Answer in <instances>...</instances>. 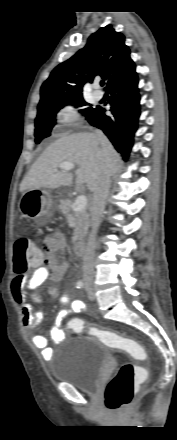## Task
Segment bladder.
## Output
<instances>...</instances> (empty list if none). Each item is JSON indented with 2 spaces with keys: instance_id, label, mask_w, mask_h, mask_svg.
Listing matches in <instances>:
<instances>
[{
  "instance_id": "obj_1",
  "label": "bladder",
  "mask_w": 177,
  "mask_h": 440,
  "mask_svg": "<svg viewBox=\"0 0 177 440\" xmlns=\"http://www.w3.org/2000/svg\"><path fill=\"white\" fill-rule=\"evenodd\" d=\"M76 341L74 347L69 343ZM108 350L96 338L77 337L67 340L53 359L50 373L57 382L73 385L78 390L95 394L108 362Z\"/></svg>"
}]
</instances>
